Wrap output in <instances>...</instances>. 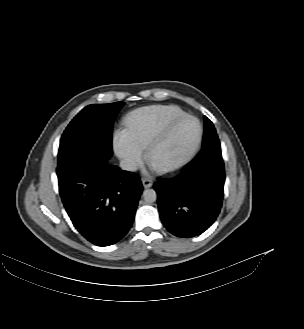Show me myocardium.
Instances as JSON below:
<instances>
[{
    "instance_id": "myocardium-1",
    "label": "myocardium",
    "mask_w": 304,
    "mask_h": 329,
    "mask_svg": "<svg viewBox=\"0 0 304 329\" xmlns=\"http://www.w3.org/2000/svg\"><path fill=\"white\" fill-rule=\"evenodd\" d=\"M186 119H193L198 126V134H197V138L192 146V148L190 149V151L180 160L170 163V164H165V165H156L153 163L152 161V154L155 151V149L160 146L161 144H163L171 135L172 131L174 130V128L183 120ZM202 138H203V126L200 122V120L193 116V115H189V114H184L181 115L175 119H173L167 126L166 128L158 135L156 136L147 146L146 148V152H145V157H146V162L148 163V165L155 170L158 173H171L174 171H177L179 169H181L182 167H184L185 165H187L193 158L194 156L197 154L201 142H202Z\"/></svg>"
}]
</instances>
